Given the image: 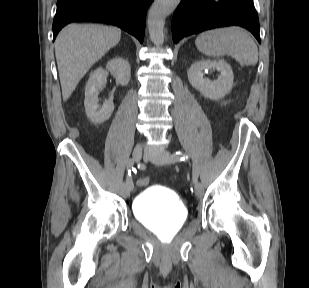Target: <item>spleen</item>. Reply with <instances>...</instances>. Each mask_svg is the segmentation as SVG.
I'll return each mask as SVG.
<instances>
[{"label":"spleen","mask_w":309,"mask_h":288,"mask_svg":"<svg viewBox=\"0 0 309 288\" xmlns=\"http://www.w3.org/2000/svg\"><path fill=\"white\" fill-rule=\"evenodd\" d=\"M200 52L209 57L230 55L242 66L258 62V48L249 34L239 27H225L205 31L195 40Z\"/></svg>","instance_id":"obj_1"}]
</instances>
